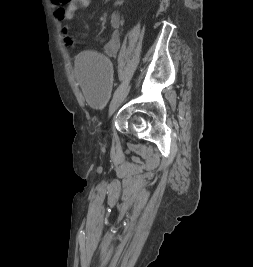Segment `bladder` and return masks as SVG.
<instances>
[{
	"mask_svg": "<svg viewBox=\"0 0 253 267\" xmlns=\"http://www.w3.org/2000/svg\"><path fill=\"white\" fill-rule=\"evenodd\" d=\"M74 75L90 105L102 109L112 89L111 67L107 57L95 51L81 52L75 60Z\"/></svg>",
	"mask_w": 253,
	"mask_h": 267,
	"instance_id": "31cf9c89",
	"label": "bladder"
}]
</instances>
